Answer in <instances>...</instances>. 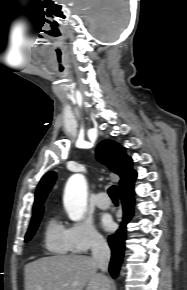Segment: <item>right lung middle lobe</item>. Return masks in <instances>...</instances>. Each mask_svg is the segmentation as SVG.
Masks as SVG:
<instances>
[{
  "instance_id": "obj_1",
  "label": "right lung middle lobe",
  "mask_w": 187,
  "mask_h": 290,
  "mask_svg": "<svg viewBox=\"0 0 187 290\" xmlns=\"http://www.w3.org/2000/svg\"><path fill=\"white\" fill-rule=\"evenodd\" d=\"M41 217H42V214H40L34 220H32L31 225L29 227V230H28V232L26 233V236H25V242H28L33 237L35 231L37 230V227L39 225Z\"/></svg>"
}]
</instances>
